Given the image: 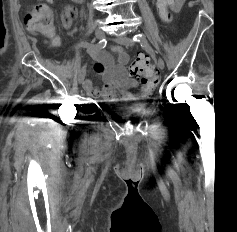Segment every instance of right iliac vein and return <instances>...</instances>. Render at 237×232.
Instances as JSON below:
<instances>
[{"label": "right iliac vein", "mask_w": 237, "mask_h": 232, "mask_svg": "<svg viewBox=\"0 0 237 232\" xmlns=\"http://www.w3.org/2000/svg\"><path fill=\"white\" fill-rule=\"evenodd\" d=\"M95 37L100 40L102 38H104V32L101 29H96L95 30ZM85 75H86V69L85 67L81 68L79 73H78V81L80 84L83 83L84 79H85Z\"/></svg>", "instance_id": "obj_1"}]
</instances>
